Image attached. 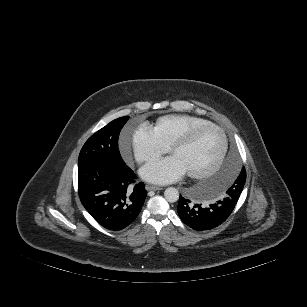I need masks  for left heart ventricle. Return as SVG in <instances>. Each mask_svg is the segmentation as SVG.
Segmentation results:
<instances>
[{"instance_id":"1","label":"left heart ventricle","mask_w":307,"mask_h":307,"mask_svg":"<svg viewBox=\"0 0 307 307\" xmlns=\"http://www.w3.org/2000/svg\"><path fill=\"white\" fill-rule=\"evenodd\" d=\"M222 148V138L213 128L200 131L186 146L176 149L174 156L186 173L210 169L216 162Z\"/></svg>"}]
</instances>
